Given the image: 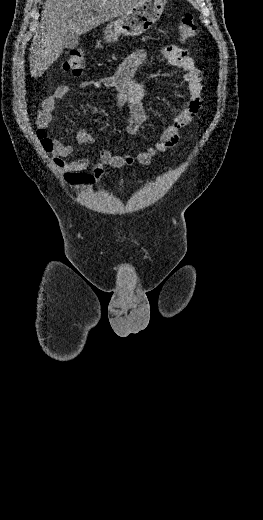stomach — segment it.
Segmentation results:
<instances>
[{
	"label": "stomach",
	"mask_w": 263,
	"mask_h": 520,
	"mask_svg": "<svg viewBox=\"0 0 263 520\" xmlns=\"http://www.w3.org/2000/svg\"><path fill=\"white\" fill-rule=\"evenodd\" d=\"M165 4L166 0H144L116 21L107 24L104 29L105 40L114 42L120 35L132 37L141 35L160 18Z\"/></svg>",
	"instance_id": "0dacf381"
}]
</instances>
